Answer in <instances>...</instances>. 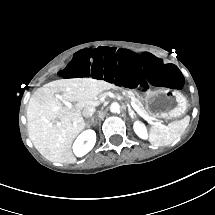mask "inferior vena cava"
I'll return each mask as SVG.
<instances>
[{
    "label": "inferior vena cava",
    "mask_w": 215,
    "mask_h": 215,
    "mask_svg": "<svg viewBox=\"0 0 215 215\" xmlns=\"http://www.w3.org/2000/svg\"><path fill=\"white\" fill-rule=\"evenodd\" d=\"M96 109L94 106H86L83 108L82 110V115L85 118H90L93 116V114L95 113Z\"/></svg>",
    "instance_id": "inferior-vena-cava-1"
}]
</instances>
